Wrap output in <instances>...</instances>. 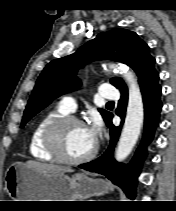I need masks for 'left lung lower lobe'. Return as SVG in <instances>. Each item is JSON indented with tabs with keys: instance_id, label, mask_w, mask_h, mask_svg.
<instances>
[{
	"instance_id": "left-lung-lower-lobe-1",
	"label": "left lung lower lobe",
	"mask_w": 176,
	"mask_h": 211,
	"mask_svg": "<svg viewBox=\"0 0 176 211\" xmlns=\"http://www.w3.org/2000/svg\"><path fill=\"white\" fill-rule=\"evenodd\" d=\"M158 81L159 75L140 85L145 113L144 136L132 161L128 165H124L113 159V149L120 135L121 126L115 127L112 124L113 115H111L106 122L110 128L111 135V142L107 151L98 159L80 165L82 169L105 175L114 184L120 186L131 199L135 197L137 177L140 173L142 162L146 157V144L152 140L154 130L159 122L162 103L160 99L161 86ZM127 99V91L121 92V99L116 113L122 118V123L124 121Z\"/></svg>"
}]
</instances>
